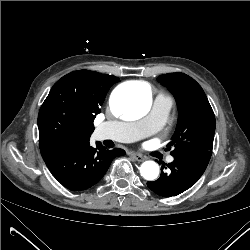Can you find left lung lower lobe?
<instances>
[{
  "instance_id": "obj_1",
  "label": "left lung lower lobe",
  "mask_w": 250,
  "mask_h": 250,
  "mask_svg": "<svg viewBox=\"0 0 250 250\" xmlns=\"http://www.w3.org/2000/svg\"><path fill=\"white\" fill-rule=\"evenodd\" d=\"M212 151H191L174 156V161L166 164L168 172L161 171L158 180L147 182V186L156 194L171 197L189 189L204 173ZM164 167V166H163Z\"/></svg>"
}]
</instances>
